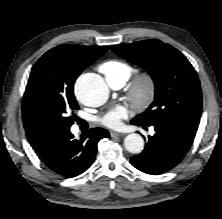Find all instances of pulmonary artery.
I'll use <instances>...</instances> for the list:
<instances>
[{
	"label": "pulmonary artery",
	"instance_id": "1",
	"mask_svg": "<svg viewBox=\"0 0 222 219\" xmlns=\"http://www.w3.org/2000/svg\"><path fill=\"white\" fill-rule=\"evenodd\" d=\"M109 86L113 89H120L124 85V81L120 78H110L107 79Z\"/></svg>",
	"mask_w": 222,
	"mask_h": 219
}]
</instances>
